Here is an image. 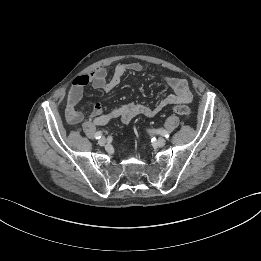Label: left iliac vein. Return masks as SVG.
Returning <instances> with one entry per match:
<instances>
[{
    "instance_id": "1",
    "label": "left iliac vein",
    "mask_w": 261,
    "mask_h": 261,
    "mask_svg": "<svg viewBox=\"0 0 261 261\" xmlns=\"http://www.w3.org/2000/svg\"><path fill=\"white\" fill-rule=\"evenodd\" d=\"M165 143H166V140L164 138H162V137L158 138L157 145L159 147H163L165 145Z\"/></svg>"
}]
</instances>
